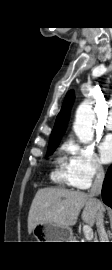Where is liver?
Listing matches in <instances>:
<instances>
[{"label": "liver", "instance_id": "liver-1", "mask_svg": "<svg viewBox=\"0 0 112 270\" xmlns=\"http://www.w3.org/2000/svg\"><path fill=\"white\" fill-rule=\"evenodd\" d=\"M82 208L83 222L94 225L99 209L96 199L89 194L63 188L39 189L29 210L28 232L46 223L70 227L77 222Z\"/></svg>", "mask_w": 112, "mask_h": 270}]
</instances>
